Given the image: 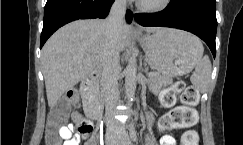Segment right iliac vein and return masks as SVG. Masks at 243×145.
<instances>
[{"label": "right iliac vein", "instance_id": "1", "mask_svg": "<svg viewBox=\"0 0 243 145\" xmlns=\"http://www.w3.org/2000/svg\"><path fill=\"white\" fill-rule=\"evenodd\" d=\"M116 141H117V137L114 134H107L105 136L106 145H115Z\"/></svg>", "mask_w": 243, "mask_h": 145}]
</instances>
